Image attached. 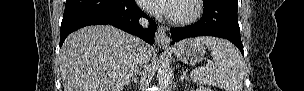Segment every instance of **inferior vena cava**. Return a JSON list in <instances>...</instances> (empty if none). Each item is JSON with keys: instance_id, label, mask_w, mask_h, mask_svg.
Here are the masks:
<instances>
[{"instance_id": "1", "label": "inferior vena cava", "mask_w": 304, "mask_h": 91, "mask_svg": "<svg viewBox=\"0 0 304 91\" xmlns=\"http://www.w3.org/2000/svg\"><path fill=\"white\" fill-rule=\"evenodd\" d=\"M139 23L143 26V27H147L148 26V21L144 18H141L139 20ZM137 41L140 45V59H139V64L143 65L146 64L147 62V55H146V51H147V46L144 45V43L137 38Z\"/></svg>"}]
</instances>
